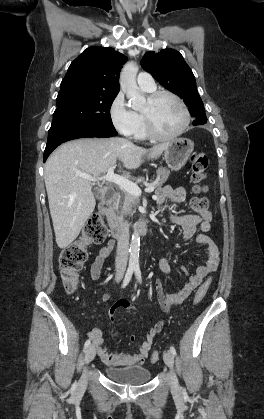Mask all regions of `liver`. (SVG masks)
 I'll use <instances>...</instances> for the list:
<instances>
[{
  "instance_id": "obj_1",
  "label": "liver",
  "mask_w": 264,
  "mask_h": 419,
  "mask_svg": "<svg viewBox=\"0 0 264 419\" xmlns=\"http://www.w3.org/2000/svg\"><path fill=\"white\" fill-rule=\"evenodd\" d=\"M166 147L145 149L116 137L77 139L57 148L45 164L44 180L58 247L64 249L78 237L96 205L92 181L81 174L98 177L115 168L117 160L133 170L142 164L143 156L158 158Z\"/></svg>"
}]
</instances>
